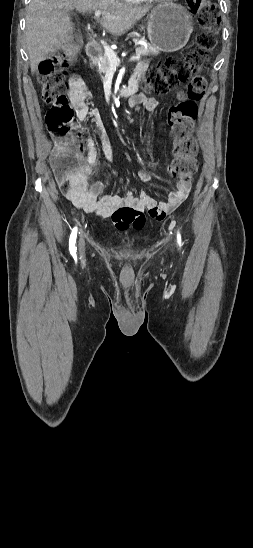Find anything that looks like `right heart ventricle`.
<instances>
[{
  "label": "right heart ventricle",
  "instance_id": "e07e8e85",
  "mask_svg": "<svg viewBox=\"0 0 253 548\" xmlns=\"http://www.w3.org/2000/svg\"><path fill=\"white\" fill-rule=\"evenodd\" d=\"M122 1H124L126 3H131V4H138V3H141L145 0H122Z\"/></svg>",
  "mask_w": 253,
  "mask_h": 548
}]
</instances>
